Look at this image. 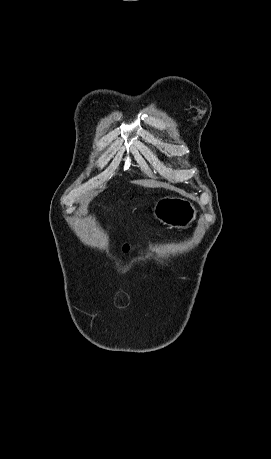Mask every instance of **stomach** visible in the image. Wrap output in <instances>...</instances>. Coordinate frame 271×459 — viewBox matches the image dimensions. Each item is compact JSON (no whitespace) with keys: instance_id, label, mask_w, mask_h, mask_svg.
<instances>
[{"instance_id":"stomach-1","label":"stomach","mask_w":271,"mask_h":459,"mask_svg":"<svg viewBox=\"0 0 271 459\" xmlns=\"http://www.w3.org/2000/svg\"><path fill=\"white\" fill-rule=\"evenodd\" d=\"M196 210L188 200L181 198H163L155 204L153 216L164 226L185 229L196 220Z\"/></svg>"}]
</instances>
